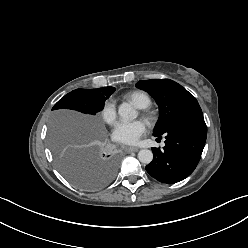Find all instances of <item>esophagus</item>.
<instances>
[{"instance_id":"1","label":"esophagus","mask_w":248,"mask_h":248,"mask_svg":"<svg viewBox=\"0 0 248 248\" xmlns=\"http://www.w3.org/2000/svg\"><path fill=\"white\" fill-rule=\"evenodd\" d=\"M138 150L137 147H125L126 152H137Z\"/></svg>"}]
</instances>
